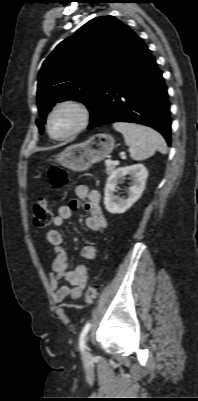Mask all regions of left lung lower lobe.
Masks as SVG:
<instances>
[{"label": "left lung lower lobe", "mask_w": 198, "mask_h": 401, "mask_svg": "<svg viewBox=\"0 0 198 401\" xmlns=\"http://www.w3.org/2000/svg\"><path fill=\"white\" fill-rule=\"evenodd\" d=\"M90 112L88 129L113 122L138 123L154 128L171 145L167 88L139 37L106 79Z\"/></svg>", "instance_id": "0a47b994"}]
</instances>
